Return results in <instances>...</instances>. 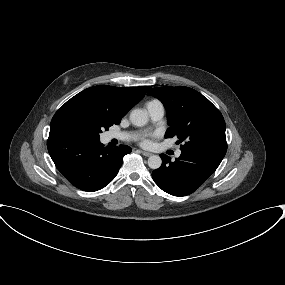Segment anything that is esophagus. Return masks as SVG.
Returning a JSON list of instances; mask_svg holds the SVG:
<instances>
[{"instance_id": "esophagus-1", "label": "esophagus", "mask_w": 285, "mask_h": 285, "mask_svg": "<svg viewBox=\"0 0 285 285\" xmlns=\"http://www.w3.org/2000/svg\"><path fill=\"white\" fill-rule=\"evenodd\" d=\"M142 155L146 156V157H149L152 155V153L150 152H147V151H140Z\"/></svg>"}]
</instances>
